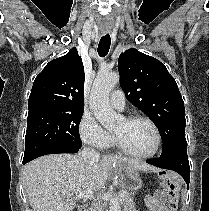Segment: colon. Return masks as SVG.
I'll return each mask as SVG.
<instances>
[{
  "mask_svg": "<svg viewBox=\"0 0 209 211\" xmlns=\"http://www.w3.org/2000/svg\"><path fill=\"white\" fill-rule=\"evenodd\" d=\"M164 186L169 197L168 208L170 211H176L178 206L179 187L171 178L166 180Z\"/></svg>",
  "mask_w": 209,
  "mask_h": 211,
  "instance_id": "1",
  "label": "colon"
}]
</instances>
